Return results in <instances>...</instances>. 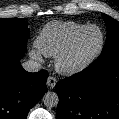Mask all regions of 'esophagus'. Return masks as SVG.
Masks as SVG:
<instances>
[{
    "label": "esophagus",
    "mask_w": 119,
    "mask_h": 119,
    "mask_svg": "<svg viewBox=\"0 0 119 119\" xmlns=\"http://www.w3.org/2000/svg\"><path fill=\"white\" fill-rule=\"evenodd\" d=\"M56 83H57V80H56L55 77L49 76V77L47 78L46 84H47V86H48L49 88H54L55 85H56Z\"/></svg>",
    "instance_id": "34e87169"
}]
</instances>
